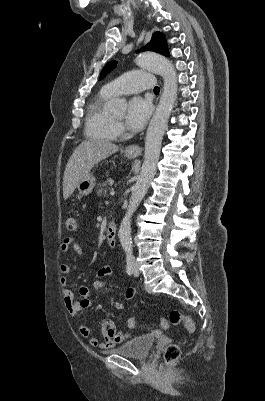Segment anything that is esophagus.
<instances>
[{"mask_svg": "<svg viewBox=\"0 0 265 401\" xmlns=\"http://www.w3.org/2000/svg\"><path fill=\"white\" fill-rule=\"evenodd\" d=\"M128 156L136 157L142 153V148L139 145H129L126 147Z\"/></svg>", "mask_w": 265, "mask_h": 401, "instance_id": "1", "label": "esophagus"}]
</instances>
